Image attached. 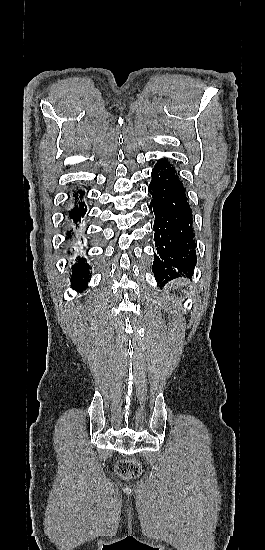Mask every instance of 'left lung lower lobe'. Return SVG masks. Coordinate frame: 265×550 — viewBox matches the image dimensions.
<instances>
[{
  "label": "left lung lower lobe",
  "instance_id": "1",
  "mask_svg": "<svg viewBox=\"0 0 265 550\" xmlns=\"http://www.w3.org/2000/svg\"><path fill=\"white\" fill-rule=\"evenodd\" d=\"M152 194L149 208L154 211V254L152 270L160 285L188 274L196 265V243L192 229V210L175 168L166 160H159L152 170L148 187Z\"/></svg>",
  "mask_w": 265,
  "mask_h": 550
}]
</instances>
